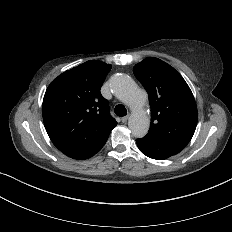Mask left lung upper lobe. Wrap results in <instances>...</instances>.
Segmentation results:
<instances>
[{
	"label": "left lung upper lobe",
	"instance_id": "obj_1",
	"mask_svg": "<svg viewBox=\"0 0 232 232\" xmlns=\"http://www.w3.org/2000/svg\"><path fill=\"white\" fill-rule=\"evenodd\" d=\"M149 95L151 124L146 136L183 149L197 125L194 96L182 76L157 58H146L133 68Z\"/></svg>",
	"mask_w": 232,
	"mask_h": 232
}]
</instances>
